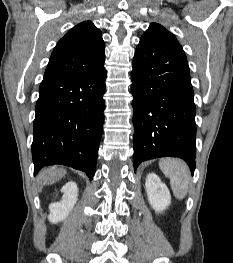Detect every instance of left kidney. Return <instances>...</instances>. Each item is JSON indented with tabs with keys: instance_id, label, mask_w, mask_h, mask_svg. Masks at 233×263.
I'll return each instance as SVG.
<instances>
[{
	"instance_id": "obj_1",
	"label": "left kidney",
	"mask_w": 233,
	"mask_h": 263,
	"mask_svg": "<svg viewBox=\"0 0 233 263\" xmlns=\"http://www.w3.org/2000/svg\"><path fill=\"white\" fill-rule=\"evenodd\" d=\"M145 187L149 204L155 212L159 213L168 208L171 203L170 192L156 174L150 173L147 175Z\"/></svg>"
}]
</instances>
